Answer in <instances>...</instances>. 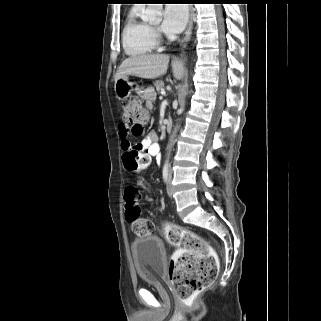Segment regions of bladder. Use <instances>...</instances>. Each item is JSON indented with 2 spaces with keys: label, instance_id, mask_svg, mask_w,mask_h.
<instances>
[{
  "label": "bladder",
  "instance_id": "bladder-1",
  "mask_svg": "<svg viewBox=\"0 0 321 321\" xmlns=\"http://www.w3.org/2000/svg\"><path fill=\"white\" fill-rule=\"evenodd\" d=\"M131 251L139 278L147 284H157L163 279L166 251L157 236H142L131 243Z\"/></svg>",
  "mask_w": 321,
  "mask_h": 321
}]
</instances>
